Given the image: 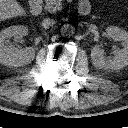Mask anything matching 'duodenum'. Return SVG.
Returning a JSON list of instances; mask_svg holds the SVG:
<instances>
[{
  "mask_svg": "<svg viewBox=\"0 0 128 128\" xmlns=\"http://www.w3.org/2000/svg\"><path fill=\"white\" fill-rule=\"evenodd\" d=\"M30 12L34 16H38L42 11V0H30ZM78 12L81 15H87L90 12V5L87 3H80L78 6Z\"/></svg>",
  "mask_w": 128,
  "mask_h": 128,
  "instance_id": "1",
  "label": "duodenum"
}]
</instances>
